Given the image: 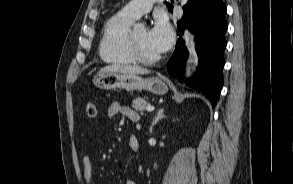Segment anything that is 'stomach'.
Instances as JSON below:
<instances>
[{
    "instance_id": "stomach-1",
    "label": "stomach",
    "mask_w": 293,
    "mask_h": 184,
    "mask_svg": "<svg viewBox=\"0 0 293 184\" xmlns=\"http://www.w3.org/2000/svg\"><path fill=\"white\" fill-rule=\"evenodd\" d=\"M92 81L97 88L104 90H146L157 95H163L168 91L167 85L159 77L144 79L129 73L99 72Z\"/></svg>"
}]
</instances>
